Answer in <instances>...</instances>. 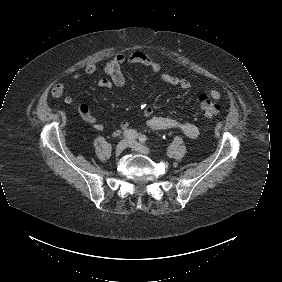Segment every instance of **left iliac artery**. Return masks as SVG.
Returning <instances> with one entry per match:
<instances>
[{
    "instance_id": "44dca946",
    "label": "left iliac artery",
    "mask_w": 282,
    "mask_h": 282,
    "mask_svg": "<svg viewBox=\"0 0 282 282\" xmlns=\"http://www.w3.org/2000/svg\"><path fill=\"white\" fill-rule=\"evenodd\" d=\"M146 140H147V137L145 135H140L139 136V141L140 142L144 143V142H146Z\"/></svg>"
}]
</instances>
